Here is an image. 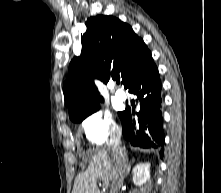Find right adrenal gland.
Instances as JSON below:
<instances>
[{
  "label": "right adrenal gland",
  "mask_w": 221,
  "mask_h": 193,
  "mask_svg": "<svg viewBox=\"0 0 221 193\" xmlns=\"http://www.w3.org/2000/svg\"><path fill=\"white\" fill-rule=\"evenodd\" d=\"M132 162H134V159L132 160ZM126 172H125V177H127L130 173V169H131V162H128L127 161V164H126Z\"/></svg>",
  "instance_id": "1"
}]
</instances>
